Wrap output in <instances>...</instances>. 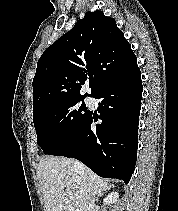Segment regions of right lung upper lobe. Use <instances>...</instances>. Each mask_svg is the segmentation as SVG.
<instances>
[{
  "mask_svg": "<svg viewBox=\"0 0 178 211\" xmlns=\"http://www.w3.org/2000/svg\"><path fill=\"white\" fill-rule=\"evenodd\" d=\"M137 68V58L116 21L87 12L72 30L48 47L33 79V115L62 101L93 97ZM89 78L91 94H80Z\"/></svg>",
  "mask_w": 178,
  "mask_h": 211,
  "instance_id": "right-lung-upper-lobe-1",
  "label": "right lung upper lobe"
}]
</instances>
